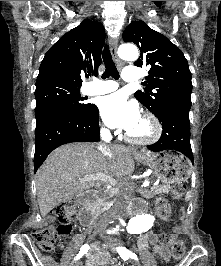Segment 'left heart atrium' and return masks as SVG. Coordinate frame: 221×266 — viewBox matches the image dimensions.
<instances>
[{
    "label": "left heart atrium",
    "instance_id": "39dd6f15",
    "mask_svg": "<svg viewBox=\"0 0 221 266\" xmlns=\"http://www.w3.org/2000/svg\"><path fill=\"white\" fill-rule=\"evenodd\" d=\"M99 110L103 121L111 128H123L131 131L141 122L138 104L129 100L122 92L102 98Z\"/></svg>",
    "mask_w": 221,
    "mask_h": 266
}]
</instances>
